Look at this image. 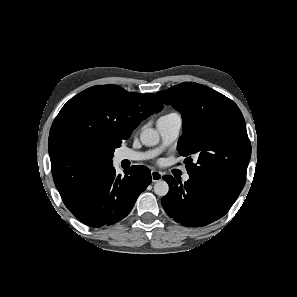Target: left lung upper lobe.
Returning a JSON list of instances; mask_svg holds the SVG:
<instances>
[{
    "instance_id": "left-lung-upper-lobe-1",
    "label": "left lung upper lobe",
    "mask_w": 297,
    "mask_h": 297,
    "mask_svg": "<svg viewBox=\"0 0 297 297\" xmlns=\"http://www.w3.org/2000/svg\"><path fill=\"white\" fill-rule=\"evenodd\" d=\"M156 95L182 115L183 134L177 149L186 157L190 178L236 201L251 156L245 120L237 105L194 82L178 84Z\"/></svg>"
}]
</instances>
